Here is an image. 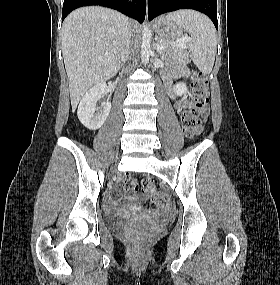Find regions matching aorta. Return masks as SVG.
Returning <instances> with one entry per match:
<instances>
[{"instance_id":"1","label":"aorta","mask_w":280,"mask_h":285,"mask_svg":"<svg viewBox=\"0 0 280 285\" xmlns=\"http://www.w3.org/2000/svg\"><path fill=\"white\" fill-rule=\"evenodd\" d=\"M152 33L148 26L144 25L142 30L141 60L144 65L149 61Z\"/></svg>"}]
</instances>
